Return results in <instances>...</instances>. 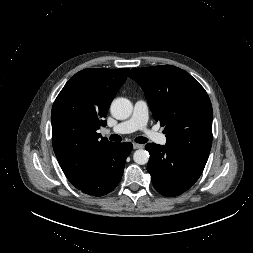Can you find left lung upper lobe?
Wrapping results in <instances>:
<instances>
[{
  "mask_svg": "<svg viewBox=\"0 0 253 253\" xmlns=\"http://www.w3.org/2000/svg\"><path fill=\"white\" fill-rule=\"evenodd\" d=\"M143 89L166 148L206 164L212 145L213 111L205 89L186 71L161 65L129 72Z\"/></svg>",
  "mask_w": 253,
  "mask_h": 253,
  "instance_id": "left-lung-upper-lobe-1",
  "label": "left lung upper lobe"
}]
</instances>
